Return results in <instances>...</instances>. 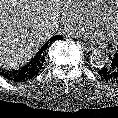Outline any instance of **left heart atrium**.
I'll list each match as a JSON object with an SVG mask.
<instances>
[{
	"instance_id": "obj_1",
	"label": "left heart atrium",
	"mask_w": 118,
	"mask_h": 118,
	"mask_svg": "<svg viewBox=\"0 0 118 118\" xmlns=\"http://www.w3.org/2000/svg\"><path fill=\"white\" fill-rule=\"evenodd\" d=\"M79 35L84 36V37H91L94 40H100L102 38V35L100 33L90 32L87 30L81 31Z\"/></svg>"
}]
</instances>
